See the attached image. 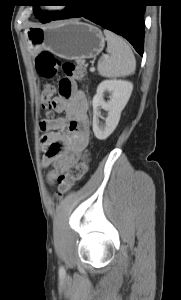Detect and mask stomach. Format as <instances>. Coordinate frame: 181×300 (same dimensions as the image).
<instances>
[{
  "label": "stomach",
  "mask_w": 181,
  "mask_h": 300,
  "mask_svg": "<svg viewBox=\"0 0 181 300\" xmlns=\"http://www.w3.org/2000/svg\"><path fill=\"white\" fill-rule=\"evenodd\" d=\"M24 35L34 56L48 50L61 58L84 62L96 57L105 46L104 35L98 27L78 20L27 28Z\"/></svg>",
  "instance_id": "1"
}]
</instances>
